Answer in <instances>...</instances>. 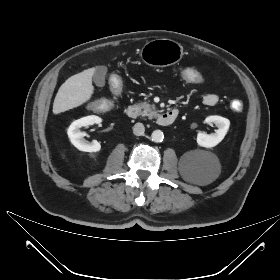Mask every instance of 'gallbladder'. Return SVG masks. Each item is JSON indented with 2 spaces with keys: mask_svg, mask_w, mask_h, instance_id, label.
Masks as SVG:
<instances>
[{
  "mask_svg": "<svg viewBox=\"0 0 280 280\" xmlns=\"http://www.w3.org/2000/svg\"><path fill=\"white\" fill-rule=\"evenodd\" d=\"M107 74V67L106 66H99L95 69L93 74V81L96 86L103 87L105 85V77Z\"/></svg>",
  "mask_w": 280,
  "mask_h": 280,
  "instance_id": "gallbladder-1",
  "label": "gallbladder"
}]
</instances>
